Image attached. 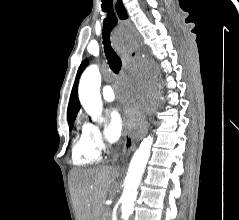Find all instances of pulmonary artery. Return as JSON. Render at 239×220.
<instances>
[{"label":"pulmonary artery","mask_w":239,"mask_h":220,"mask_svg":"<svg viewBox=\"0 0 239 220\" xmlns=\"http://www.w3.org/2000/svg\"><path fill=\"white\" fill-rule=\"evenodd\" d=\"M102 95H103V98L108 102L115 100V93H114L113 87L111 85H106L103 88Z\"/></svg>","instance_id":"obj_1"}]
</instances>
